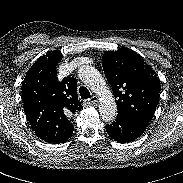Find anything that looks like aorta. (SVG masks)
I'll list each match as a JSON object with an SVG mask.
<instances>
[{"label": "aorta", "instance_id": "obj_1", "mask_svg": "<svg viewBox=\"0 0 183 183\" xmlns=\"http://www.w3.org/2000/svg\"><path fill=\"white\" fill-rule=\"evenodd\" d=\"M78 76L87 87L99 95V111L103 121H113L117 115L116 102L99 71L95 67L83 65L78 69Z\"/></svg>", "mask_w": 183, "mask_h": 183}]
</instances>
